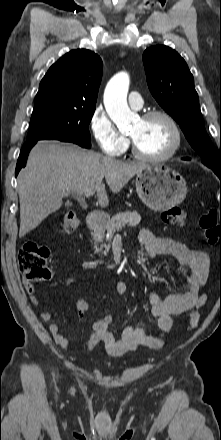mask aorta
<instances>
[{
	"instance_id": "aorta-1",
	"label": "aorta",
	"mask_w": 221,
	"mask_h": 440,
	"mask_svg": "<svg viewBox=\"0 0 221 440\" xmlns=\"http://www.w3.org/2000/svg\"><path fill=\"white\" fill-rule=\"evenodd\" d=\"M129 76L125 72L114 75L104 91V106L111 120L119 129L131 123L133 113L127 104Z\"/></svg>"
}]
</instances>
